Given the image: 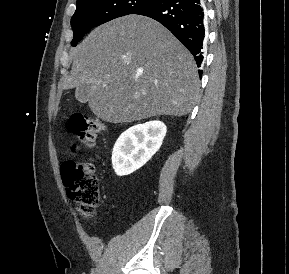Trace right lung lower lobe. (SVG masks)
Listing matches in <instances>:
<instances>
[{
	"label": "right lung lower lobe",
	"instance_id": "right-lung-lower-lobe-1",
	"mask_svg": "<svg viewBox=\"0 0 289 274\" xmlns=\"http://www.w3.org/2000/svg\"><path fill=\"white\" fill-rule=\"evenodd\" d=\"M134 14L153 18L169 29L200 67L205 37L203 0H157ZM199 74L202 75L201 70Z\"/></svg>",
	"mask_w": 289,
	"mask_h": 274
}]
</instances>
